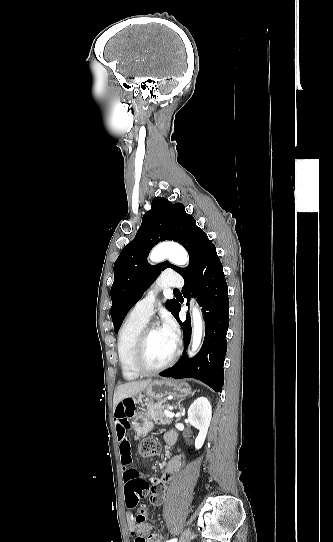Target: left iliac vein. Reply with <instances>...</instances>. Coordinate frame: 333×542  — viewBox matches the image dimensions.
<instances>
[{
  "label": "left iliac vein",
  "mask_w": 333,
  "mask_h": 542,
  "mask_svg": "<svg viewBox=\"0 0 333 542\" xmlns=\"http://www.w3.org/2000/svg\"><path fill=\"white\" fill-rule=\"evenodd\" d=\"M191 532L186 530L180 542H190Z\"/></svg>",
  "instance_id": "left-iliac-vein-1"
}]
</instances>
